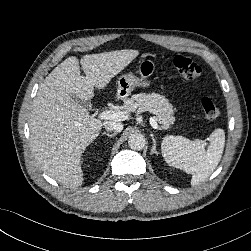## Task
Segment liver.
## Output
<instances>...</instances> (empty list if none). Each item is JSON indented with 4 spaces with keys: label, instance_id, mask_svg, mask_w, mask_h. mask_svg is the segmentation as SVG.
Masks as SVG:
<instances>
[{
    "label": "liver",
    "instance_id": "obj_1",
    "mask_svg": "<svg viewBox=\"0 0 251 251\" xmlns=\"http://www.w3.org/2000/svg\"><path fill=\"white\" fill-rule=\"evenodd\" d=\"M137 50H118L68 57L45 78L30 115V145L42 171L68 187L83 183L85 149L99 135L102 122L89 115L74 98L89 101L94 89H105L111 79L137 56Z\"/></svg>",
    "mask_w": 251,
    "mask_h": 251
}]
</instances>
